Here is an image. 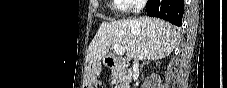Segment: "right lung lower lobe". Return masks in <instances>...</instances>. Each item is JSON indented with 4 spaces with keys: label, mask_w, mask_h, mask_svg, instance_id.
Returning <instances> with one entry per match:
<instances>
[{
    "label": "right lung lower lobe",
    "mask_w": 227,
    "mask_h": 88,
    "mask_svg": "<svg viewBox=\"0 0 227 88\" xmlns=\"http://www.w3.org/2000/svg\"><path fill=\"white\" fill-rule=\"evenodd\" d=\"M146 11L151 17H158L181 26L184 0H148Z\"/></svg>",
    "instance_id": "98d812e1"
}]
</instances>
